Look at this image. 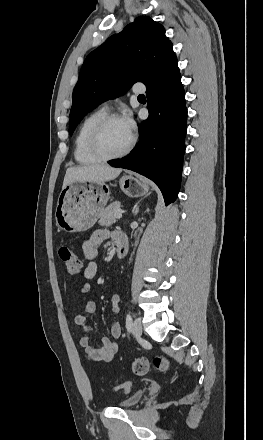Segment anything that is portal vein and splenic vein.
Here are the masks:
<instances>
[{
    "mask_svg": "<svg viewBox=\"0 0 263 440\" xmlns=\"http://www.w3.org/2000/svg\"><path fill=\"white\" fill-rule=\"evenodd\" d=\"M115 217L118 218V219H120V218L122 217V211H117V212L115 213Z\"/></svg>",
    "mask_w": 263,
    "mask_h": 440,
    "instance_id": "obj_1",
    "label": "portal vein and splenic vein"
}]
</instances>
